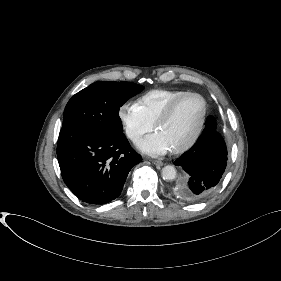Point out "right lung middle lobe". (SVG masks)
<instances>
[{
  "mask_svg": "<svg viewBox=\"0 0 281 281\" xmlns=\"http://www.w3.org/2000/svg\"><path fill=\"white\" fill-rule=\"evenodd\" d=\"M143 86L131 82H95L67 103L58 144L82 135L122 132L120 107L140 93Z\"/></svg>",
  "mask_w": 281,
  "mask_h": 281,
  "instance_id": "1",
  "label": "right lung middle lobe"
}]
</instances>
